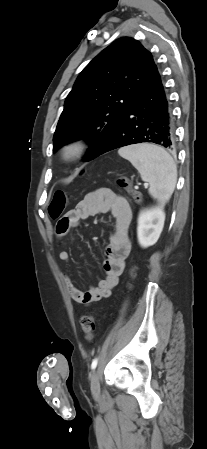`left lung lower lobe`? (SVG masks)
I'll use <instances>...</instances> for the list:
<instances>
[{"mask_svg": "<svg viewBox=\"0 0 207 449\" xmlns=\"http://www.w3.org/2000/svg\"><path fill=\"white\" fill-rule=\"evenodd\" d=\"M136 143H155L167 149H173L175 145L171 107L157 67L125 118L94 158Z\"/></svg>", "mask_w": 207, "mask_h": 449, "instance_id": "left-lung-lower-lobe-1", "label": "left lung lower lobe"}]
</instances>
